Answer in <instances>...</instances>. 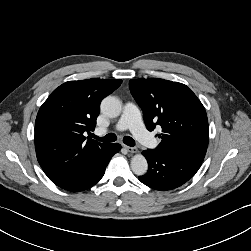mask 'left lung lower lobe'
Wrapping results in <instances>:
<instances>
[{
  "mask_svg": "<svg viewBox=\"0 0 251 251\" xmlns=\"http://www.w3.org/2000/svg\"><path fill=\"white\" fill-rule=\"evenodd\" d=\"M148 172L139 180L150 188L172 190L187 182L198 171L202 161L187 155L145 150Z\"/></svg>",
  "mask_w": 251,
  "mask_h": 251,
  "instance_id": "1",
  "label": "left lung lower lobe"
}]
</instances>
